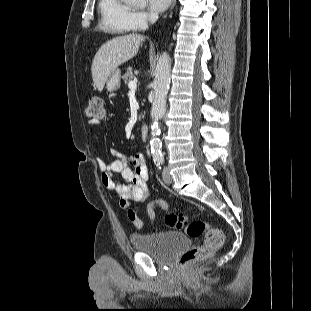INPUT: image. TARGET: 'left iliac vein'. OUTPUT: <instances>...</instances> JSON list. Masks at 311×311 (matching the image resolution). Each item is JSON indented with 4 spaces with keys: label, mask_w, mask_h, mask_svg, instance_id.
<instances>
[{
    "label": "left iliac vein",
    "mask_w": 311,
    "mask_h": 311,
    "mask_svg": "<svg viewBox=\"0 0 311 311\" xmlns=\"http://www.w3.org/2000/svg\"><path fill=\"white\" fill-rule=\"evenodd\" d=\"M163 181L166 183V184H170L171 181H172V177L170 175V172H169V168L168 167H164L163 169Z\"/></svg>",
    "instance_id": "left-iliac-vein-1"
}]
</instances>
